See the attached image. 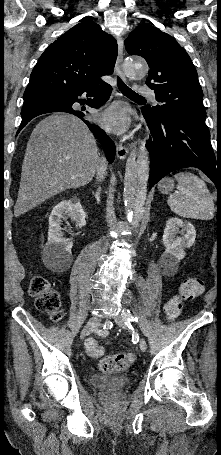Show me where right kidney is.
Wrapping results in <instances>:
<instances>
[{"label":"right kidney","mask_w":221,"mask_h":455,"mask_svg":"<svg viewBox=\"0 0 221 455\" xmlns=\"http://www.w3.org/2000/svg\"><path fill=\"white\" fill-rule=\"evenodd\" d=\"M67 218L79 228L86 225V213L79 202L64 200L53 208L49 216L48 241L42 250V259L51 268L61 269L72 261L73 243L64 237L62 230L66 228H61L62 221Z\"/></svg>","instance_id":"obj_1"}]
</instances>
